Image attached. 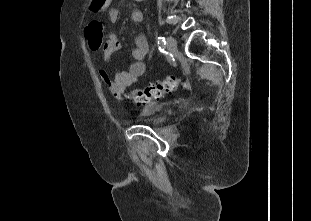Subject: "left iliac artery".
<instances>
[{
  "mask_svg": "<svg viewBox=\"0 0 311 221\" xmlns=\"http://www.w3.org/2000/svg\"><path fill=\"white\" fill-rule=\"evenodd\" d=\"M157 44H158V49L161 52H165V46H166V41L165 38L163 36H158L157 38Z\"/></svg>",
  "mask_w": 311,
  "mask_h": 221,
  "instance_id": "left-iliac-artery-1",
  "label": "left iliac artery"
}]
</instances>
